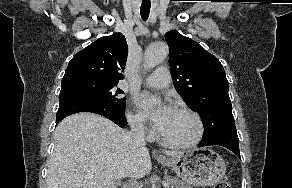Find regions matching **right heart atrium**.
I'll return each mask as SVG.
<instances>
[{
  "instance_id": "1",
  "label": "right heart atrium",
  "mask_w": 292,
  "mask_h": 188,
  "mask_svg": "<svg viewBox=\"0 0 292 188\" xmlns=\"http://www.w3.org/2000/svg\"><path fill=\"white\" fill-rule=\"evenodd\" d=\"M126 117L133 131L139 134H146L149 132V126L141 113L128 111Z\"/></svg>"
}]
</instances>
